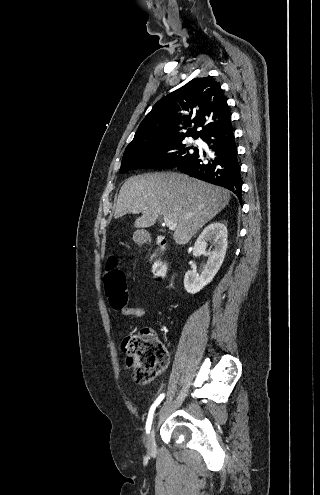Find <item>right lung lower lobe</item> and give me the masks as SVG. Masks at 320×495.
<instances>
[{
	"instance_id": "right-lung-lower-lobe-1",
	"label": "right lung lower lobe",
	"mask_w": 320,
	"mask_h": 495,
	"mask_svg": "<svg viewBox=\"0 0 320 495\" xmlns=\"http://www.w3.org/2000/svg\"><path fill=\"white\" fill-rule=\"evenodd\" d=\"M201 138L212 150L211 157L206 159L208 162L204 163L206 153L196 150L189 159L174 168L189 176L227 188L241 201L240 164L231 119L207 131Z\"/></svg>"
}]
</instances>
